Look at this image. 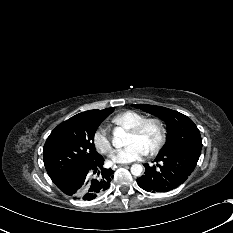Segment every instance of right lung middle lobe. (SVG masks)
<instances>
[{
    "instance_id": "dd1d6c3e",
    "label": "right lung middle lobe",
    "mask_w": 233,
    "mask_h": 233,
    "mask_svg": "<svg viewBox=\"0 0 233 233\" xmlns=\"http://www.w3.org/2000/svg\"><path fill=\"white\" fill-rule=\"evenodd\" d=\"M113 110L114 108H107L74 116L51 132L43 148V161L54 183H58L75 169L102 157L95 149L94 135L101 122Z\"/></svg>"
}]
</instances>
